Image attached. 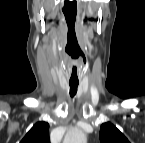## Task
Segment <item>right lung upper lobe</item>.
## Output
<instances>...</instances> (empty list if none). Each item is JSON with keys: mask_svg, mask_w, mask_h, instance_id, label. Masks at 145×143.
Returning <instances> with one entry per match:
<instances>
[{"mask_svg": "<svg viewBox=\"0 0 145 143\" xmlns=\"http://www.w3.org/2000/svg\"><path fill=\"white\" fill-rule=\"evenodd\" d=\"M21 143H50L49 124L37 122L22 139Z\"/></svg>", "mask_w": 145, "mask_h": 143, "instance_id": "obj_1", "label": "right lung upper lobe"}]
</instances>
